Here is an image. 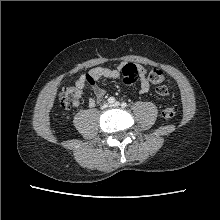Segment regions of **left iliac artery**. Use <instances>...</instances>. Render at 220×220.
Here are the masks:
<instances>
[{
    "label": "left iliac artery",
    "instance_id": "left-iliac-artery-1",
    "mask_svg": "<svg viewBox=\"0 0 220 220\" xmlns=\"http://www.w3.org/2000/svg\"><path fill=\"white\" fill-rule=\"evenodd\" d=\"M121 106H122L123 108H125V107L127 106V103H126V102H123V103L121 104Z\"/></svg>",
    "mask_w": 220,
    "mask_h": 220
}]
</instances>
